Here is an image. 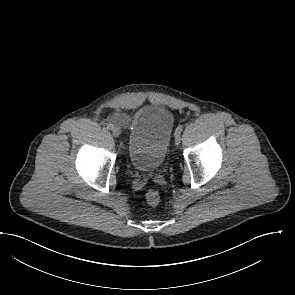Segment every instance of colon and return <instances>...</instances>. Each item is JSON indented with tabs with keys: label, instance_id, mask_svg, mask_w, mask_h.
<instances>
[{
	"label": "colon",
	"instance_id": "5ec220e1",
	"mask_svg": "<svg viewBox=\"0 0 295 295\" xmlns=\"http://www.w3.org/2000/svg\"><path fill=\"white\" fill-rule=\"evenodd\" d=\"M146 201L149 205H157L160 201L159 193L156 190H149L146 193Z\"/></svg>",
	"mask_w": 295,
	"mask_h": 295
}]
</instances>
